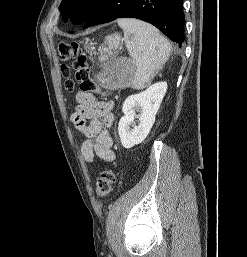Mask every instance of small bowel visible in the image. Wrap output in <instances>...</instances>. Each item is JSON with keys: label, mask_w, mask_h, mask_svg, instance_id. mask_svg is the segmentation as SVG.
Masks as SVG:
<instances>
[{"label": "small bowel", "mask_w": 247, "mask_h": 257, "mask_svg": "<svg viewBox=\"0 0 247 257\" xmlns=\"http://www.w3.org/2000/svg\"><path fill=\"white\" fill-rule=\"evenodd\" d=\"M76 100L78 105L71 115V121L86 137L81 147L84 160L91 163L98 157L106 162L113 161V102L99 101L91 93L84 91L77 93Z\"/></svg>", "instance_id": "1"}]
</instances>
